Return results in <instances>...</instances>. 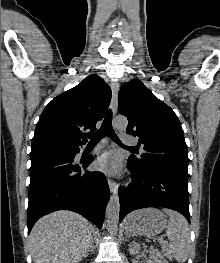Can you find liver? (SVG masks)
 <instances>
[{
  "label": "liver",
  "mask_w": 220,
  "mask_h": 263,
  "mask_svg": "<svg viewBox=\"0 0 220 263\" xmlns=\"http://www.w3.org/2000/svg\"><path fill=\"white\" fill-rule=\"evenodd\" d=\"M93 230L75 212L60 210L42 217L29 237L34 263H78L90 246Z\"/></svg>",
  "instance_id": "6515ba94"
}]
</instances>
